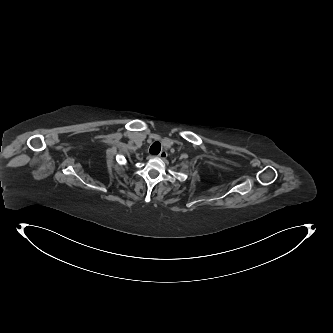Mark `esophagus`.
<instances>
[{
  "label": "esophagus",
  "instance_id": "34e87169",
  "mask_svg": "<svg viewBox=\"0 0 333 333\" xmlns=\"http://www.w3.org/2000/svg\"><path fill=\"white\" fill-rule=\"evenodd\" d=\"M160 158L165 159L167 157V152L165 150L161 151L158 155Z\"/></svg>",
  "mask_w": 333,
  "mask_h": 333
}]
</instances>
